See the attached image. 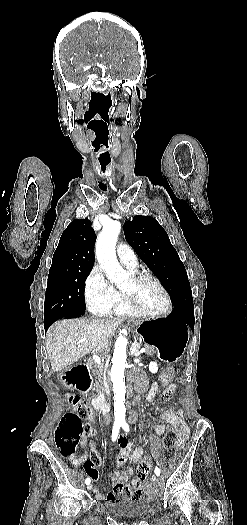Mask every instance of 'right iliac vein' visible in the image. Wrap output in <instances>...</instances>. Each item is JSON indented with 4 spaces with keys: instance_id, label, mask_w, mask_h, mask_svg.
I'll return each mask as SVG.
<instances>
[{
    "instance_id": "obj_1",
    "label": "right iliac vein",
    "mask_w": 247,
    "mask_h": 525,
    "mask_svg": "<svg viewBox=\"0 0 247 525\" xmlns=\"http://www.w3.org/2000/svg\"><path fill=\"white\" fill-rule=\"evenodd\" d=\"M87 489H88V490H91V489H92V484H89V485L87 486Z\"/></svg>"
}]
</instances>
